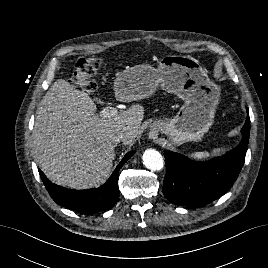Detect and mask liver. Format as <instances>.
I'll return each instance as SVG.
<instances>
[{
  "mask_svg": "<svg viewBox=\"0 0 268 268\" xmlns=\"http://www.w3.org/2000/svg\"><path fill=\"white\" fill-rule=\"evenodd\" d=\"M96 110L87 93L64 79L55 81L40 101L32 134L33 157L52 182L73 189L103 184L115 158L107 133L121 131L128 135L123 144H129L144 117L139 104L114 117L104 118Z\"/></svg>",
  "mask_w": 268,
  "mask_h": 268,
  "instance_id": "obj_1",
  "label": "liver"
}]
</instances>
